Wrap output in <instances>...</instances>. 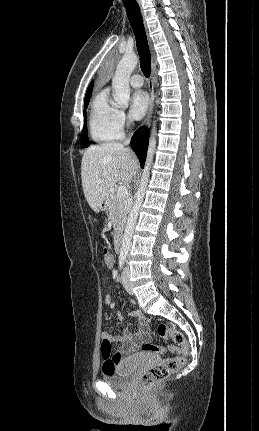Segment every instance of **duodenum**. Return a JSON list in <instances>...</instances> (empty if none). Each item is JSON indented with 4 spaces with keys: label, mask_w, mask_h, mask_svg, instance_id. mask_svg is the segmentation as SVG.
<instances>
[{
    "label": "duodenum",
    "mask_w": 259,
    "mask_h": 431,
    "mask_svg": "<svg viewBox=\"0 0 259 431\" xmlns=\"http://www.w3.org/2000/svg\"><path fill=\"white\" fill-rule=\"evenodd\" d=\"M114 247L116 252H120L122 248V234L117 232L114 239Z\"/></svg>",
    "instance_id": "duodenum-1"
}]
</instances>
